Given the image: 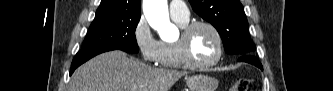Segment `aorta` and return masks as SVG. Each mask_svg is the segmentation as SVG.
<instances>
[{"instance_id":"obj_1","label":"aorta","mask_w":333,"mask_h":91,"mask_svg":"<svg viewBox=\"0 0 333 91\" xmlns=\"http://www.w3.org/2000/svg\"><path fill=\"white\" fill-rule=\"evenodd\" d=\"M143 12L161 39L168 40L173 36L176 27L170 22L167 0H144Z\"/></svg>"}]
</instances>
